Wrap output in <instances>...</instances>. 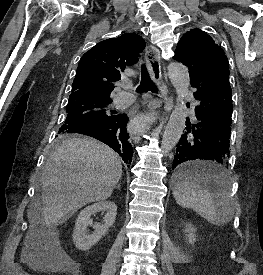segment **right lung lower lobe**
Instances as JSON below:
<instances>
[{
	"mask_svg": "<svg viewBox=\"0 0 263 275\" xmlns=\"http://www.w3.org/2000/svg\"><path fill=\"white\" fill-rule=\"evenodd\" d=\"M128 119L119 114L102 122L86 123L70 128L67 133H77L93 137L113 148L125 163H131L133 148L126 131Z\"/></svg>",
	"mask_w": 263,
	"mask_h": 275,
	"instance_id": "98d812e1",
	"label": "right lung lower lobe"
}]
</instances>
